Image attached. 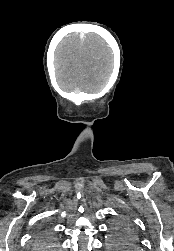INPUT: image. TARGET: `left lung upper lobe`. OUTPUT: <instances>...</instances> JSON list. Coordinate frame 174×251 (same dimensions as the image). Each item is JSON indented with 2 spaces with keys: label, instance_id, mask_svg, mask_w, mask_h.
Returning <instances> with one entry per match:
<instances>
[{
  "label": "left lung upper lobe",
  "instance_id": "obj_1",
  "mask_svg": "<svg viewBox=\"0 0 174 251\" xmlns=\"http://www.w3.org/2000/svg\"><path fill=\"white\" fill-rule=\"evenodd\" d=\"M136 241V233L133 227L126 219L117 221L113 226V237L111 243L121 248L127 246V243Z\"/></svg>",
  "mask_w": 174,
  "mask_h": 251
}]
</instances>
